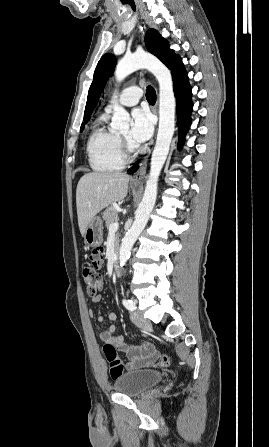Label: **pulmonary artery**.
Listing matches in <instances>:
<instances>
[{"label": "pulmonary artery", "mask_w": 269, "mask_h": 447, "mask_svg": "<svg viewBox=\"0 0 269 447\" xmlns=\"http://www.w3.org/2000/svg\"><path fill=\"white\" fill-rule=\"evenodd\" d=\"M143 96V90L138 86H131L124 89L117 99V105L119 106H134L138 104L141 97ZM113 106L108 105L106 110L108 112L112 111Z\"/></svg>", "instance_id": "pulmonary-artery-1"}]
</instances>
